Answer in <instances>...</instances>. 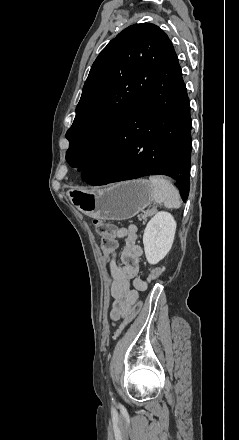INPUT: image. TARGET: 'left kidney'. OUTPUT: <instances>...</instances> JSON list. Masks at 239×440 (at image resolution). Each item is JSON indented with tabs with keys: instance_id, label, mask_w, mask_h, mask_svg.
Here are the masks:
<instances>
[{
	"instance_id": "left-kidney-1",
	"label": "left kidney",
	"mask_w": 239,
	"mask_h": 440,
	"mask_svg": "<svg viewBox=\"0 0 239 440\" xmlns=\"http://www.w3.org/2000/svg\"><path fill=\"white\" fill-rule=\"evenodd\" d=\"M176 222L168 212H158L148 222L143 244L147 262L158 264L170 252L174 242Z\"/></svg>"
}]
</instances>
